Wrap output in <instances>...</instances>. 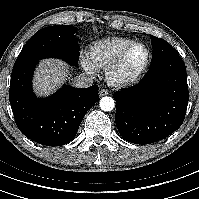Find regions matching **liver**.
Segmentation results:
<instances>
[{"label": "liver", "instance_id": "1", "mask_svg": "<svg viewBox=\"0 0 199 199\" xmlns=\"http://www.w3.org/2000/svg\"><path fill=\"white\" fill-rule=\"evenodd\" d=\"M69 66L59 59L42 60L34 75L33 88L39 97L55 92L69 75Z\"/></svg>", "mask_w": 199, "mask_h": 199}]
</instances>
